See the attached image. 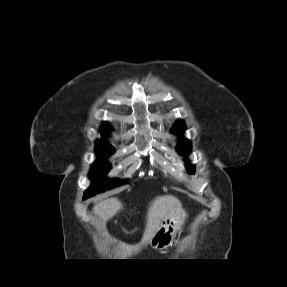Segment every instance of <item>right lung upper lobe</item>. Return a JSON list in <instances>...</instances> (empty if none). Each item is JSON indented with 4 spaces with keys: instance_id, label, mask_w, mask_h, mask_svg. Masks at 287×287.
<instances>
[{
    "instance_id": "right-lung-upper-lobe-1",
    "label": "right lung upper lobe",
    "mask_w": 287,
    "mask_h": 287,
    "mask_svg": "<svg viewBox=\"0 0 287 287\" xmlns=\"http://www.w3.org/2000/svg\"><path fill=\"white\" fill-rule=\"evenodd\" d=\"M108 127H110L109 124L105 123V127L102 128L103 134H107L108 133ZM97 144H109L106 140L101 139L97 141Z\"/></svg>"
}]
</instances>
